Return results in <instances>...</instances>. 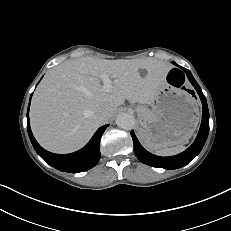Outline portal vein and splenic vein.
Instances as JSON below:
<instances>
[{"mask_svg":"<svg viewBox=\"0 0 231 231\" xmlns=\"http://www.w3.org/2000/svg\"><path fill=\"white\" fill-rule=\"evenodd\" d=\"M100 78H101V80H102L103 83H104L103 89H104L105 91H107V92L111 91V89H112V82H111L109 76L106 75V74H102V75L100 76Z\"/></svg>","mask_w":231,"mask_h":231,"instance_id":"18ae733b","label":"portal vein and splenic vein"}]
</instances>
